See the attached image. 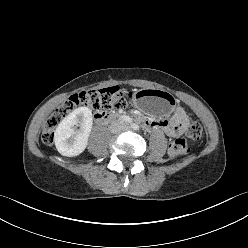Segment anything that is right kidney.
Here are the masks:
<instances>
[{
  "label": "right kidney",
  "mask_w": 248,
  "mask_h": 248,
  "mask_svg": "<svg viewBox=\"0 0 248 248\" xmlns=\"http://www.w3.org/2000/svg\"><path fill=\"white\" fill-rule=\"evenodd\" d=\"M92 125V112L89 108L79 107L73 110L55 130L54 142L58 152L67 157L80 155L88 145Z\"/></svg>",
  "instance_id": "1"
}]
</instances>
